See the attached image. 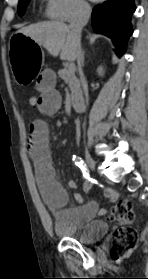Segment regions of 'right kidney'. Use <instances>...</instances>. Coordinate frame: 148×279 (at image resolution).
I'll return each mask as SVG.
<instances>
[{"mask_svg":"<svg viewBox=\"0 0 148 279\" xmlns=\"http://www.w3.org/2000/svg\"><path fill=\"white\" fill-rule=\"evenodd\" d=\"M97 73H98V75L101 76V77L104 76L105 71H104V69H103L102 66H100V67L97 68Z\"/></svg>","mask_w":148,"mask_h":279,"instance_id":"obj_1","label":"right kidney"}]
</instances>
